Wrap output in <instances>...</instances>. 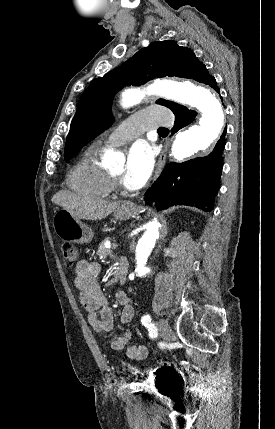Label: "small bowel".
<instances>
[{
	"label": "small bowel",
	"instance_id": "obj_1",
	"mask_svg": "<svg viewBox=\"0 0 275 429\" xmlns=\"http://www.w3.org/2000/svg\"><path fill=\"white\" fill-rule=\"evenodd\" d=\"M75 286L79 292L81 304L87 312V318L92 328L98 333H107L113 328V312L109 306V300L103 293L99 275L101 267L98 263L81 260L76 265ZM117 301L122 305L120 322L123 325L131 323L137 314V307L133 300L124 292L116 293ZM131 333L125 332L111 342V348L115 351L126 350V355L132 360H143L147 357L148 350L144 345H129Z\"/></svg>",
	"mask_w": 275,
	"mask_h": 429
}]
</instances>
